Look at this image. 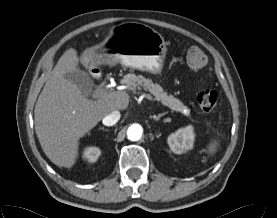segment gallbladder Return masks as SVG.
I'll use <instances>...</instances> for the list:
<instances>
[{
    "label": "gallbladder",
    "instance_id": "1",
    "mask_svg": "<svg viewBox=\"0 0 277 218\" xmlns=\"http://www.w3.org/2000/svg\"><path fill=\"white\" fill-rule=\"evenodd\" d=\"M65 78L75 84L83 94H87L93 86V80L88 73L82 70H73L65 74Z\"/></svg>",
    "mask_w": 277,
    "mask_h": 218
}]
</instances>
